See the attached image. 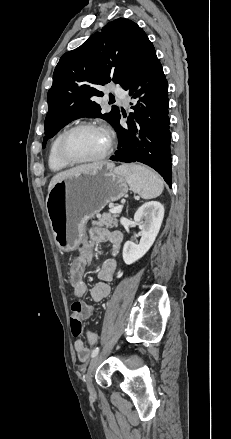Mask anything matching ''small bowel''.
Here are the masks:
<instances>
[{"instance_id": "c3829d8e", "label": "small bowel", "mask_w": 231, "mask_h": 439, "mask_svg": "<svg viewBox=\"0 0 231 439\" xmlns=\"http://www.w3.org/2000/svg\"><path fill=\"white\" fill-rule=\"evenodd\" d=\"M122 240L123 236L119 231L110 232L104 228H94L90 232V241L85 242L79 251L76 259L80 260L83 266H86L93 259L94 247L104 242H110L112 245L111 257L103 262L97 274L98 281L90 290V296L95 302H100L109 296L110 282L120 273L116 257L120 252ZM88 289V283H75L73 294L78 299L87 298ZM94 309L92 305L83 301H77L72 305V313L77 314L80 319H88ZM86 337L89 346L81 339L74 341V349L81 362L88 360L91 352L90 346H93L97 341V335L92 331L87 330Z\"/></svg>"}]
</instances>
